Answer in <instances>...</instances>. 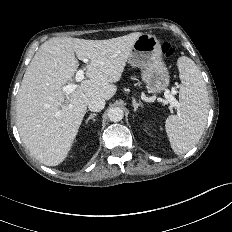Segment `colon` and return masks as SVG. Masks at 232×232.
<instances>
[{
    "mask_svg": "<svg viewBox=\"0 0 232 232\" xmlns=\"http://www.w3.org/2000/svg\"><path fill=\"white\" fill-rule=\"evenodd\" d=\"M162 53L166 58H171L175 54V47L169 42H162Z\"/></svg>",
    "mask_w": 232,
    "mask_h": 232,
    "instance_id": "obj_1",
    "label": "colon"
}]
</instances>
